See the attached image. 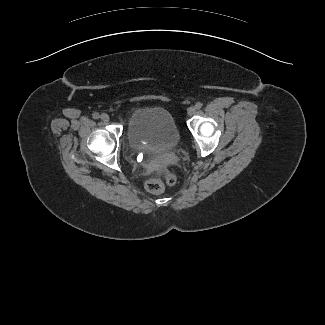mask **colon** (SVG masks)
<instances>
[{"label": "colon", "mask_w": 325, "mask_h": 325, "mask_svg": "<svg viewBox=\"0 0 325 325\" xmlns=\"http://www.w3.org/2000/svg\"><path fill=\"white\" fill-rule=\"evenodd\" d=\"M176 182V174L169 172L164 180L151 177L146 180L145 188L151 193H162L167 187L174 185Z\"/></svg>", "instance_id": "1"}]
</instances>
